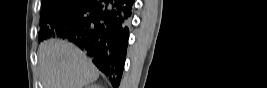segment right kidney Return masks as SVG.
<instances>
[{
	"label": "right kidney",
	"mask_w": 267,
	"mask_h": 88,
	"mask_svg": "<svg viewBox=\"0 0 267 88\" xmlns=\"http://www.w3.org/2000/svg\"><path fill=\"white\" fill-rule=\"evenodd\" d=\"M85 88H101V86L98 84H90V85L86 86Z\"/></svg>",
	"instance_id": "right-kidney-1"
}]
</instances>
